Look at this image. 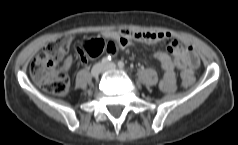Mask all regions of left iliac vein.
Returning <instances> with one entry per match:
<instances>
[{"label":"left iliac vein","instance_id":"1","mask_svg":"<svg viewBox=\"0 0 238 145\" xmlns=\"http://www.w3.org/2000/svg\"><path fill=\"white\" fill-rule=\"evenodd\" d=\"M117 66L115 63H109L104 66L103 71H110V70H116Z\"/></svg>","mask_w":238,"mask_h":145}]
</instances>
